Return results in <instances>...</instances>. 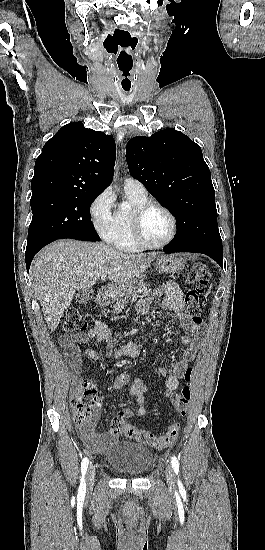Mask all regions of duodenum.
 Returning a JSON list of instances; mask_svg holds the SVG:
<instances>
[{"instance_id": "obj_1", "label": "duodenum", "mask_w": 265, "mask_h": 550, "mask_svg": "<svg viewBox=\"0 0 265 550\" xmlns=\"http://www.w3.org/2000/svg\"><path fill=\"white\" fill-rule=\"evenodd\" d=\"M109 299V292L108 291H98L95 302L97 305H103L105 304Z\"/></svg>"}]
</instances>
